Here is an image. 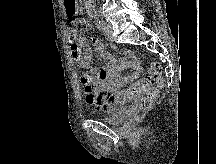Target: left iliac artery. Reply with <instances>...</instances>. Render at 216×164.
<instances>
[{
	"label": "left iliac artery",
	"instance_id": "left-iliac-artery-1",
	"mask_svg": "<svg viewBox=\"0 0 216 164\" xmlns=\"http://www.w3.org/2000/svg\"><path fill=\"white\" fill-rule=\"evenodd\" d=\"M97 23H98L99 30L105 33L107 30L106 23L103 20H99V19H97Z\"/></svg>",
	"mask_w": 216,
	"mask_h": 164
}]
</instances>
